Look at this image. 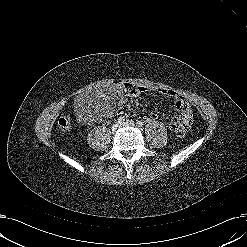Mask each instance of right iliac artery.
<instances>
[{
    "mask_svg": "<svg viewBox=\"0 0 247 247\" xmlns=\"http://www.w3.org/2000/svg\"><path fill=\"white\" fill-rule=\"evenodd\" d=\"M124 120H125L124 117H119L118 118V122H120V123L123 122Z\"/></svg>",
    "mask_w": 247,
    "mask_h": 247,
    "instance_id": "obj_1",
    "label": "right iliac artery"
}]
</instances>
